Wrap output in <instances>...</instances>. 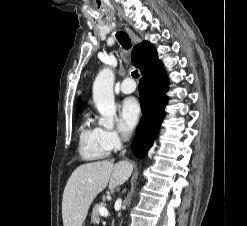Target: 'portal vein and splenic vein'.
<instances>
[{"label": "portal vein and splenic vein", "instance_id": "1", "mask_svg": "<svg viewBox=\"0 0 247 226\" xmlns=\"http://www.w3.org/2000/svg\"><path fill=\"white\" fill-rule=\"evenodd\" d=\"M99 213L101 216L107 217L109 215L108 210L105 207L99 209Z\"/></svg>", "mask_w": 247, "mask_h": 226}]
</instances>
